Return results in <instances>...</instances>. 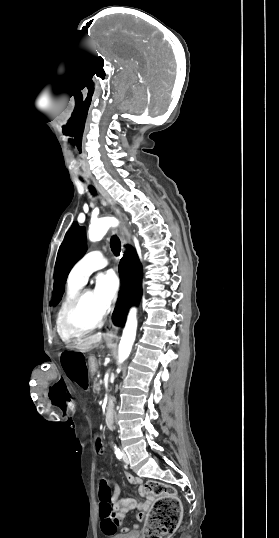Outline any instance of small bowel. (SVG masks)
<instances>
[{
	"label": "small bowel",
	"mask_w": 279,
	"mask_h": 538,
	"mask_svg": "<svg viewBox=\"0 0 279 538\" xmlns=\"http://www.w3.org/2000/svg\"><path fill=\"white\" fill-rule=\"evenodd\" d=\"M125 477L127 481L134 486L140 487V492L142 495H145L144 488L142 486V480L139 477L133 476L128 471H124ZM120 492V488L117 484H114L113 489V497L112 500L114 502V506L117 509V513L111 517V518H103L102 521V530L105 534H111L117 531L118 528H121L122 532H128L129 529L126 526H123V522L125 521L127 514L129 511L137 509V515L136 518L138 521H141L144 519L146 515V511L149 506V500H143L141 502H137L133 498L128 499H118V495ZM134 529L138 528V524L133 525Z\"/></svg>",
	"instance_id": "obj_1"
}]
</instances>
